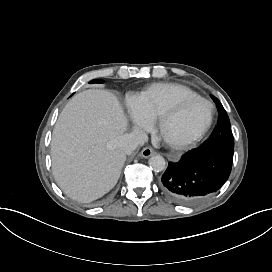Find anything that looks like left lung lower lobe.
<instances>
[{"label": "left lung lower lobe", "instance_id": "left-lung-lower-lobe-1", "mask_svg": "<svg viewBox=\"0 0 272 272\" xmlns=\"http://www.w3.org/2000/svg\"><path fill=\"white\" fill-rule=\"evenodd\" d=\"M233 150L222 147H201L169 163L160 187L174 203L192 205L216 192L228 179Z\"/></svg>", "mask_w": 272, "mask_h": 272}]
</instances>
